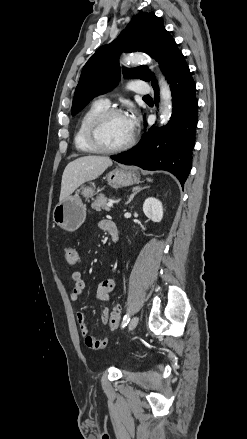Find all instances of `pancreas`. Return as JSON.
I'll list each match as a JSON object with an SVG mask.
<instances>
[{"label": "pancreas", "mask_w": 247, "mask_h": 439, "mask_svg": "<svg viewBox=\"0 0 247 439\" xmlns=\"http://www.w3.org/2000/svg\"><path fill=\"white\" fill-rule=\"evenodd\" d=\"M92 209H95L96 211H110L109 207L107 206V197H105L103 194H100L91 204Z\"/></svg>", "instance_id": "1"}]
</instances>
